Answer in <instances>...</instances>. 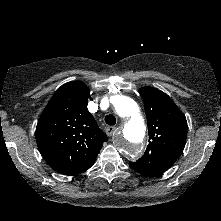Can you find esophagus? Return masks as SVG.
<instances>
[{
    "label": "esophagus",
    "mask_w": 221,
    "mask_h": 221,
    "mask_svg": "<svg viewBox=\"0 0 221 221\" xmlns=\"http://www.w3.org/2000/svg\"><path fill=\"white\" fill-rule=\"evenodd\" d=\"M115 131H116V128H115V127H107V128H106V134H107L108 136H112Z\"/></svg>",
    "instance_id": "obj_1"
}]
</instances>
